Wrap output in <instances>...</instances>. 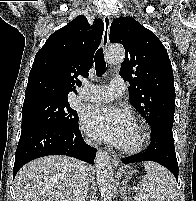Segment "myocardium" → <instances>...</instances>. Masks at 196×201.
I'll return each instance as SVG.
<instances>
[{
  "mask_svg": "<svg viewBox=\"0 0 196 201\" xmlns=\"http://www.w3.org/2000/svg\"><path fill=\"white\" fill-rule=\"evenodd\" d=\"M136 127L138 129V138L137 140L129 146H120L119 149L127 154H134L146 147L150 139V130L148 126L139 121L136 123Z\"/></svg>",
  "mask_w": 196,
  "mask_h": 201,
  "instance_id": "1",
  "label": "myocardium"
}]
</instances>
